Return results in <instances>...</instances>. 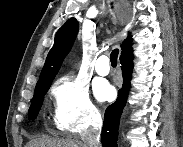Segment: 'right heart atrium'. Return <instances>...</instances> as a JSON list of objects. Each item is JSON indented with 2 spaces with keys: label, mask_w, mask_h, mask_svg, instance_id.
I'll use <instances>...</instances> for the list:
<instances>
[{
  "label": "right heart atrium",
  "mask_w": 183,
  "mask_h": 147,
  "mask_svg": "<svg viewBox=\"0 0 183 147\" xmlns=\"http://www.w3.org/2000/svg\"><path fill=\"white\" fill-rule=\"evenodd\" d=\"M54 102L53 118L57 128L81 133L95 126L100 112L92 102L88 86L74 76H63L51 88Z\"/></svg>",
  "instance_id": "1"
}]
</instances>
